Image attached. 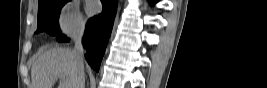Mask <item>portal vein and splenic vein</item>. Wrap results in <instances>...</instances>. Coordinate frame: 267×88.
Here are the masks:
<instances>
[{
  "label": "portal vein and splenic vein",
  "mask_w": 267,
  "mask_h": 88,
  "mask_svg": "<svg viewBox=\"0 0 267 88\" xmlns=\"http://www.w3.org/2000/svg\"><path fill=\"white\" fill-rule=\"evenodd\" d=\"M59 78H61L62 81L65 80V77L64 76H59ZM63 88H66V86L64 85Z\"/></svg>",
  "instance_id": "obj_1"
}]
</instances>
